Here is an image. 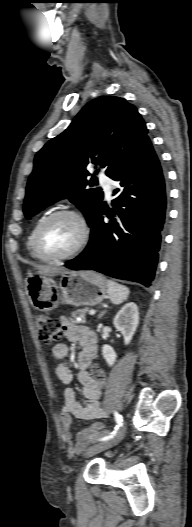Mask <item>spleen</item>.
Listing matches in <instances>:
<instances>
[{
    "instance_id": "spleen-1",
    "label": "spleen",
    "mask_w": 192,
    "mask_h": 527,
    "mask_svg": "<svg viewBox=\"0 0 192 527\" xmlns=\"http://www.w3.org/2000/svg\"><path fill=\"white\" fill-rule=\"evenodd\" d=\"M106 287L111 302L116 305L121 304L123 301H125L130 293L128 287L121 285L113 280H107Z\"/></svg>"
}]
</instances>
